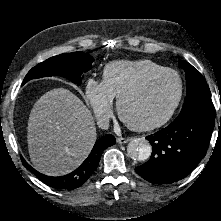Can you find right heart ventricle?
<instances>
[{"label":"right heart ventricle","mask_w":221,"mask_h":221,"mask_svg":"<svg viewBox=\"0 0 221 221\" xmlns=\"http://www.w3.org/2000/svg\"><path fill=\"white\" fill-rule=\"evenodd\" d=\"M165 67L148 59L121 60L107 64L103 69V82L113 98L119 96L150 73Z\"/></svg>","instance_id":"1"}]
</instances>
